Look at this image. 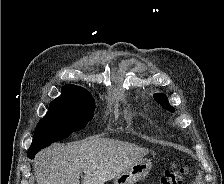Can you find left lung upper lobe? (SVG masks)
<instances>
[{"label":"left lung upper lobe","mask_w":224,"mask_h":184,"mask_svg":"<svg viewBox=\"0 0 224 184\" xmlns=\"http://www.w3.org/2000/svg\"><path fill=\"white\" fill-rule=\"evenodd\" d=\"M154 98L161 106H163L168 111H171V112L175 111V109L169 104L165 94H162V93L154 94Z\"/></svg>","instance_id":"left-lung-upper-lobe-1"}]
</instances>
